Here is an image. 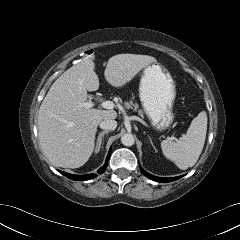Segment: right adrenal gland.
Masks as SVG:
<instances>
[{"label":"right adrenal gland","instance_id":"right-adrenal-gland-1","mask_svg":"<svg viewBox=\"0 0 240 240\" xmlns=\"http://www.w3.org/2000/svg\"><path fill=\"white\" fill-rule=\"evenodd\" d=\"M108 132L109 131H103L98 134L96 148H95L96 153H98L100 151L102 139H103L104 135L107 134Z\"/></svg>","mask_w":240,"mask_h":240}]
</instances>
